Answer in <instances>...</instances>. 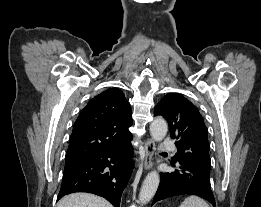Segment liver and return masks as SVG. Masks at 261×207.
<instances>
[{
	"label": "liver",
	"mask_w": 261,
	"mask_h": 207,
	"mask_svg": "<svg viewBox=\"0 0 261 207\" xmlns=\"http://www.w3.org/2000/svg\"><path fill=\"white\" fill-rule=\"evenodd\" d=\"M57 207H113L102 197L89 193H73L64 196Z\"/></svg>",
	"instance_id": "obj_1"
}]
</instances>
